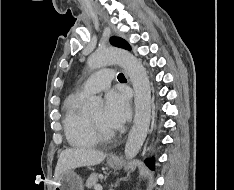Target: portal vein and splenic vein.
Wrapping results in <instances>:
<instances>
[{
  "mask_svg": "<svg viewBox=\"0 0 234 190\" xmlns=\"http://www.w3.org/2000/svg\"><path fill=\"white\" fill-rule=\"evenodd\" d=\"M94 189L95 190H103L102 186L99 184L95 185Z\"/></svg>",
  "mask_w": 234,
  "mask_h": 190,
  "instance_id": "obj_1",
  "label": "portal vein and splenic vein"
}]
</instances>
